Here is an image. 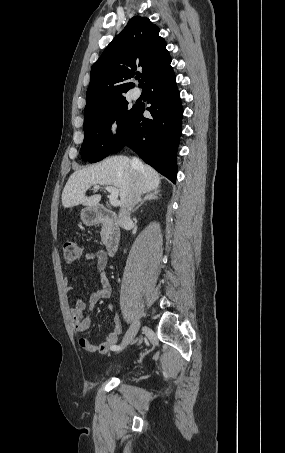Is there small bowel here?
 <instances>
[{
	"instance_id": "c3829d8e",
	"label": "small bowel",
	"mask_w": 285,
	"mask_h": 453,
	"mask_svg": "<svg viewBox=\"0 0 285 453\" xmlns=\"http://www.w3.org/2000/svg\"><path fill=\"white\" fill-rule=\"evenodd\" d=\"M84 258L88 261L96 262L99 271L98 280L100 282V287L89 295L87 302L79 298L71 308L73 327L79 334H84L89 330L91 324L89 312L101 299L108 298L112 291L111 284L104 272L108 261L106 253L103 250H97L86 253ZM72 289V286H67L68 291H71ZM107 310L110 313H114V305L108 304ZM113 323V329L106 335L105 340L98 345L92 343L83 336L79 337L78 343L81 348L90 353L106 354L112 347L116 346L118 336L122 330L121 320L117 314L114 315Z\"/></svg>"
}]
</instances>
